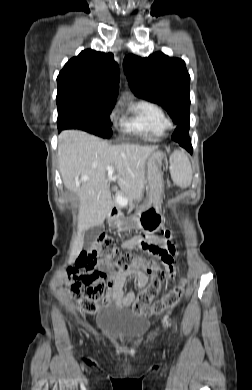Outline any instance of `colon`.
I'll return each instance as SVG.
<instances>
[{"label":"colon","instance_id":"obj_1","mask_svg":"<svg viewBox=\"0 0 252 390\" xmlns=\"http://www.w3.org/2000/svg\"><path fill=\"white\" fill-rule=\"evenodd\" d=\"M142 223L144 231L141 234V248L155 255L151 253V250L157 247L150 242L149 236L156 230V225L145 221ZM100 261L116 271L141 267L150 274V282L136 295L133 305V311L138 316L162 313L176 306L183 296L184 285L179 283L150 306L162 283L176 273L172 257L164 254L163 261L168 264V267L162 268L154 258L135 254L126 247L118 245L112 236L103 234L98 237L92 249L84 253L68 272L73 297L77 300L81 310L86 313L92 314L97 311L98 302L104 292V280L107 278V273L96 269Z\"/></svg>","mask_w":252,"mask_h":390}]
</instances>
